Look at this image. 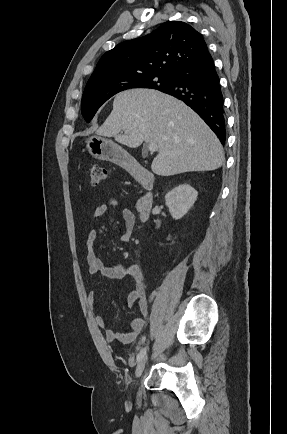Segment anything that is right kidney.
<instances>
[{
	"mask_svg": "<svg viewBox=\"0 0 287 434\" xmlns=\"http://www.w3.org/2000/svg\"><path fill=\"white\" fill-rule=\"evenodd\" d=\"M198 192L189 184H180L165 195L173 219H181L197 200Z\"/></svg>",
	"mask_w": 287,
	"mask_h": 434,
	"instance_id": "right-kidney-1",
	"label": "right kidney"
}]
</instances>
